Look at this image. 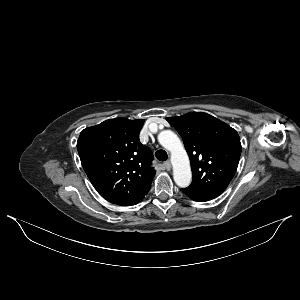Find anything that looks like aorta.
<instances>
[{
	"instance_id": "1",
	"label": "aorta",
	"mask_w": 300,
	"mask_h": 300,
	"mask_svg": "<svg viewBox=\"0 0 300 300\" xmlns=\"http://www.w3.org/2000/svg\"><path fill=\"white\" fill-rule=\"evenodd\" d=\"M158 141L164 148L171 152L175 183L181 188L188 187L192 180V173L189 157L181 140L174 132L164 130L159 133Z\"/></svg>"
}]
</instances>
